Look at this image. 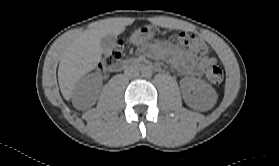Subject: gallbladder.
Listing matches in <instances>:
<instances>
[{"instance_id":"1","label":"gallbladder","mask_w":279,"mask_h":166,"mask_svg":"<svg viewBox=\"0 0 279 166\" xmlns=\"http://www.w3.org/2000/svg\"><path fill=\"white\" fill-rule=\"evenodd\" d=\"M116 46V37L109 34L101 39L100 47L103 53L108 54Z\"/></svg>"}]
</instances>
